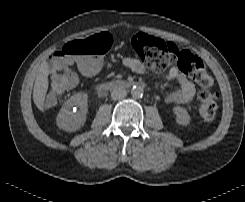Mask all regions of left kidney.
Returning <instances> with one entry per match:
<instances>
[{
  "label": "left kidney",
  "mask_w": 245,
  "mask_h": 202,
  "mask_svg": "<svg viewBox=\"0 0 245 202\" xmlns=\"http://www.w3.org/2000/svg\"><path fill=\"white\" fill-rule=\"evenodd\" d=\"M174 114L176 115V122L179 125H188L190 122V116L184 107L176 106L173 108Z\"/></svg>",
  "instance_id": "left-kidney-1"
}]
</instances>
